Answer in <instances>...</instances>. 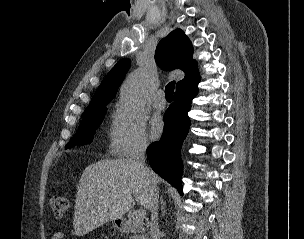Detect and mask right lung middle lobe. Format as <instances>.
Listing matches in <instances>:
<instances>
[{"label":"right lung middle lobe","instance_id":"obj_1","mask_svg":"<svg viewBox=\"0 0 304 239\" xmlns=\"http://www.w3.org/2000/svg\"><path fill=\"white\" fill-rule=\"evenodd\" d=\"M105 113L106 105L84 112L82 115L83 120L78 131L65 148L68 149L75 145L90 144L93 140V134L97 127L101 124Z\"/></svg>","mask_w":304,"mask_h":239}]
</instances>
